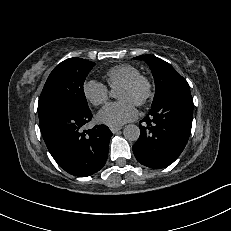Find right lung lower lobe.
I'll return each instance as SVG.
<instances>
[{"label": "right lung lower lobe", "instance_id": "1", "mask_svg": "<svg viewBox=\"0 0 231 231\" xmlns=\"http://www.w3.org/2000/svg\"><path fill=\"white\" fill-rule=\"evenodd\" d=\"M91 118L89 109L64 108L39 119L40 130L52 157L74 176L92 175L107 160L112 132L106 125L82 131Z\"/></svg>", "mask_w": 231, "mask_h": 231}]
</instances>
